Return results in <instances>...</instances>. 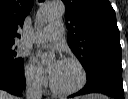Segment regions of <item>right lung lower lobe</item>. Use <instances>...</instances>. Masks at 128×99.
Masks as SVG:
<instances>
[{
  "mask_svg": "<svg viewBox=\"0 0 128 99\" xmlns=\"http://www.w3.org/2000/svg\"><path fill=\"white\" fill-rule=\"evenodd\" d=\"M24 87V66L16 73L0 70V89L5 90L13 95L20 96Z\"/></svg>",
  "mask_w": 128,
  "mask_h": 99,
  "instance_id": "obj_1",
  "label": "right lung lower lobe"
}]
</instances>
